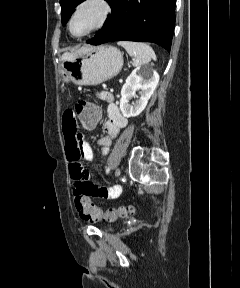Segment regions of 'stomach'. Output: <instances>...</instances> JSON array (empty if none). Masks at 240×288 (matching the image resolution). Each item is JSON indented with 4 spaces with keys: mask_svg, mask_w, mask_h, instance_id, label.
<instances>
[{
    "mask_svg": "<svg viewBox=\"0 0 240 288\" xmlns=\"http://www.w3.org/2000/svg\"><path fill=\"white\" fill-rule=\"evenodd\" d=\"M122 66L123 57L116 47H89L62 62V81L77 85H98L118 75Z\"/></svg>",
    "mask_w": 240,
    "mask_h": 288,
    "instance_id": "obj_1",
    "label": "stomach"
}]
</instances>
